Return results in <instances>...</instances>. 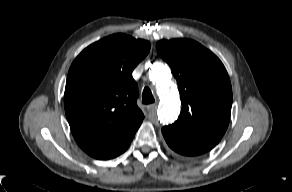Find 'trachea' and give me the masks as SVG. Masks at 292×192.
<instances>
[{
	"label": "trachea",
	"instance_id": "3493384b",
	"mask_svg": "<svg viewBox=\"0 0 292 192\" xmlns=\"http://www.w3.org/2000/svg\"><path fill=\"white\" fill-rule=\"evenodd\" d=\"M154 97L152 95L151 90L148 87H145L143 90V95H142V103L144 104H151L153 103Z\"/></svg>",
	"mask_w": 292,
	"mask_h": 192
}]
</instances>
